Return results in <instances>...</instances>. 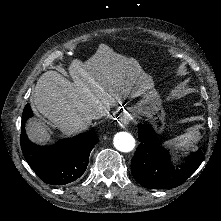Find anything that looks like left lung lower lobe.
<instances>
[{
    "label": "left lung lower lobe",
    "mask_w": 221,
    "mask_h": 221,
    "mask_svg": "<svg viewBox=\"0 0 221 221\" xmlns=\"http://www.w3.org/2000/svg\"><path fill=\"white\" fill-rule=\"evenodd\" d=\"M141 142L131 164L136 181L145 188L170 189L184 183L200 166L202 152H192L181 165L173 166L168 151L161 147L151 126L138 125Z\"/></svg>",
    "instance_id": "obj_1"
}]
</instances>
